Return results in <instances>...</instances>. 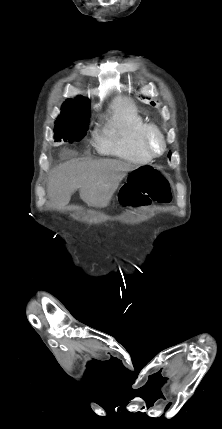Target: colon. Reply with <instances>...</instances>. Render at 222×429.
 Returning <instances> with one entry per match:
<instances>
[{"mask_svg":"<svg viewBox=\"0 0 222 429\" xmlns=\"http://www.w3.org/2000/svg\"><path fill=\"white\" fill-rule=\"evenodd\" d=\"M171 199V188L166 176L147 164L136 167L120 191V201L128 207L145 206L151 202L166 204Z\"/></svg>","mask_w":222,"mask_h":429,"instance_id":"5ec220e1","label":"colon"}]
</instances>
